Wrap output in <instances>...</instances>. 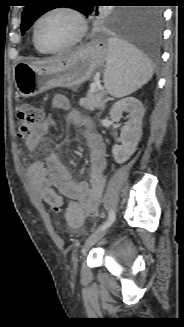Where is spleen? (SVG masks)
I'll return each instance as SVG.
<instances>
[{"mask_svg":"<svg viewBox=\"0 0 184 327\" xmlns=\"http://www.w3.org/2000/svg\"><path fill=\"white\" fill-rule=\"evenodd\" d=\"M152 76V65L143 53L121 39H108L104 85L111 96H127L141 88Z\"/></svg>","mask_w":184,"mask_h":327,"instance_id":"spleen-1","label":"spleen"}]
</instances>
